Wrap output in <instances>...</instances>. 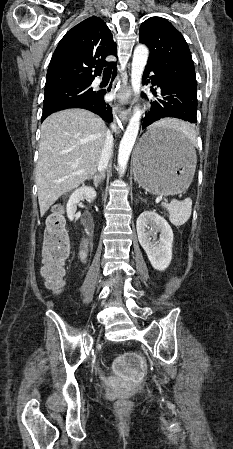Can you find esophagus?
<instances>
[{
    "label": "esophagus",
    "mask_w": 233,
    "mask_h": 449,
    "mask_svg": "<svg viewBox=\"0 0 233 449\" xmlns=\"http://www.w3.org/2000/svg\"><path fill=\"white\" fill-rule=\"evenodd\" d=\"M128 90V86L125 84H122L119 88V91L121 94H124ZM119 117L123 122H126L128 120L127 117V111L124 110L122 105H119L118 107Z\"/></svg>",
    "instance_id": "1"
}]
</instances>
